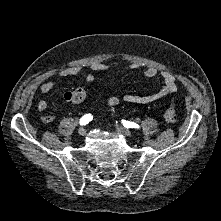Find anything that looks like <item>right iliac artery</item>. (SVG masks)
Wrapping results in <instances>:
<instances>
[{
	"mask_svg": "<svg viewBox=\"0 0 221 221\" xmlns=\"http://www.w3.org/2000/svg\"><path fill=\"white\" fill-rule=\"evenodd\" d=\"M92 119H93V116H92L91 114H85V115L80 119V124H81V125H86V124H88Z\"/></svg>",
	"mask_w": 221,
	"mask_h": 221,
	"instance_id": "obj_1",
	"label": "right iliac artery"
}]
</instances>
